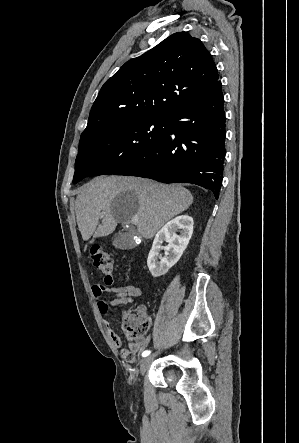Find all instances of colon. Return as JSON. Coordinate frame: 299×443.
Instances as JSON below:
<instances>
[{"instance_id": "obj_1", "label": "colon", "mask_w": 299, "mask_h": 443, "mask_svg": "<svg viewBox=\"0 0 299 443\" xmlns=\"http://www.w3.org/2000/svg\"><path fill=\"white\" fill-rule=\"evenodd\" d=\"M89 256L94 266L104 275L105 283L112 285L114 282V263L110 254L100 245L92 244L89 247ZM122 326L126 340L135 342L142 339L148 332L150 319L141 308H138L124 313Z\"/></svg>"}]
</instances>
